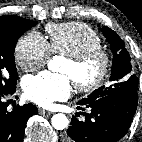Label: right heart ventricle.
I'll use <instances>...</instances> for the list:
<instances>
[{
  "label": "right heart ventricle",
  "mask_w": 142,
  "mask_h": 142,
  "mask_svg": "<svg viewBox=\"0 0 142 142\" xmlns=\"http://www.w3.org/2000/svg\"><path fill=\"white\" fill-rule=\"evenodd\" d=\"M46 30L52 53L74 56L102 46L98 33L82 22L49 24Z\"/></svg>",
  "instance_id": "e07e8e85"
}]
</instances>
